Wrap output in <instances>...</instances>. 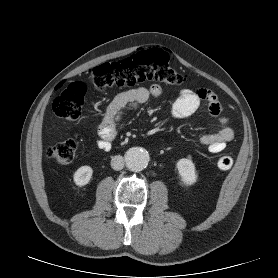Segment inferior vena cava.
Masks as SVG:
<instances>
[{"mask_svg":"<svg viewBox=\"0 0 278 278\" xmlns=\"http://www.w3.org/2000/svg\"><path fill=\"white\" fill-rule=\"evenodd\" d=\"M111 167L114 169V170H121L123 169L124 167V159L122 156L120 155H117V156H114L111 160Z\"/></svg>","mask_w":278,"mask_h":278,"instance_id":"1","label":"inferior vena cava"}]
</instances>
